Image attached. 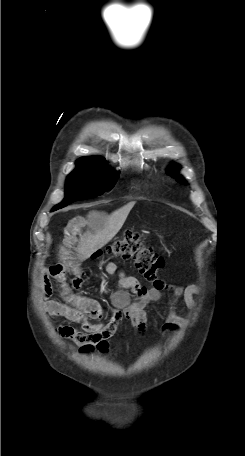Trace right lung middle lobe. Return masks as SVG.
<instances>
[{"instance_id":"1","label":"right lung middle lobe","mask_w":245,"mask_h":456,"mask_svg":"<svg viewBox=\"0 0 245 456\" xmlns=\"http://www.w3.org/2000/svg\"><path fill=\"white\" fill-rule=\"evenodd\" d=\"M118 175L107 165L77 166L67 176L65 199L54 210L65 207L78 200L102 195L116 184Z\"/></svg>"}]
</instances>
